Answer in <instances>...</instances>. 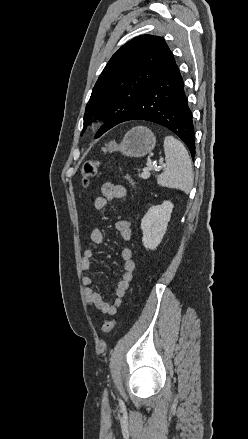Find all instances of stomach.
<instances>
[{
	"mask_svg": "<svg viewBox=\"0 0 248 439\" xmlns=\"http://www.w3.org/2000/svg\"><path fill=\"white\" fill-rule=\"evenodd\" d=\"M156 144V137L147 127L138 126L128 131L117 146H108V151H120L128 157H142L150 153Z\"/></svg>",
	"mask_w": 248,
	"mask_h": 439,
	"instance_id": "0dacf381",
	"label": "stomach"
}]
</instances>
